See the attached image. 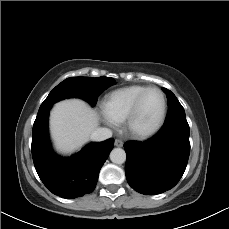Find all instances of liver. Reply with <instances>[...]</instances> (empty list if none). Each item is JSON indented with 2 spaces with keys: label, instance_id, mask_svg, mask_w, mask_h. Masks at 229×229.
Masks as SVG:
<instances>
[{
  "label": "liver",
  "instance_id": "obj_1",
  "mask_svg": "<svg viewBox=\"0 0 229 229\" xmlns=\"http://www.w3.org/2000/svg\"><path fill=\"white\" fill-rule=\"evenodd\" d=\"M98 124L96 111L79 99L57 103L50 115L52 138L57 150L63 153H71L80 148Z\"/></svg>",
  "mask_w": 229,
  "mask_h": 229
}]
</instances>
